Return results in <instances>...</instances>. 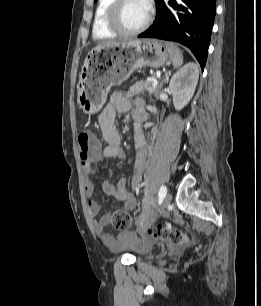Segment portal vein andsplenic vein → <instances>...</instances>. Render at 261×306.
<instances>
[{"label":"portal vein and splenic vein","instance_id":"portal-vein-and-splenic-vein-1","mask_svg":"<svg viewBox=\"0 0 261 306\" xmlns=\"http://www.w3.org/2000/svg\"><path fill=\"white\" fill-rule=\"evenodd\" d=\"M149 81H151V80H149ZM157 84H158L157 80H153L152 86L155 87Z\"/></svg>","mask_w":261,"mask_h":306}]
</instances>
